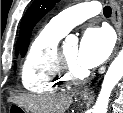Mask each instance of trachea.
Listing matches in <instances>:
<instances>
[{"label":"trachea","instance_id":"obj_1","mask_svg":"<svg viewBox=\"0 0 123 113\" xmlns=\"http://www.w3.org/2000/svg\"><path fill=\"white\" fill-rule=\"evenodd\" d=\"M111 13H112V9L109 6H105L103 9V14L106 17H109V16H111Z\"/></svg>","mask_w":123,"mask_h":113}]
</instances>
